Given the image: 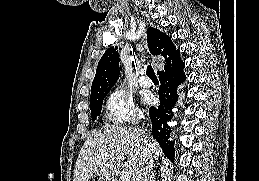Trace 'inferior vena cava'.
I'll use <instances>...</instances> for the list:
<instances>
[{"instance_id":"obj_1","label":"inferior vena cava","mask_w":259,"mask_h":181,"mask_svg":"<svg viewBox=\"0 0 259 181\" xmlns=\"http://www.w3.org/2000/svg\"><path fill=\"white\" fill-rule=\"evenodd\" d=\"M146 129L143 130L145 133ZM152 164L153 160L150 154V151L146 148L143 158V163L141 165V168L137 174L136 181H148L149 175L152 170Z\"/></svg>"}]
</instances>
